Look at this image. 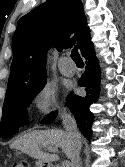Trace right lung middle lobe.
Masks as SVG:
<instances>
[{"label": "right lung middle lobe", "mask_w": 125, "mask_h": 167, "mask_svg": "<svg viewBox=\"0 0 125 167\" xmlns=\"http://www.w3.org/2000/svg\"><path fill=\"white\" fill-rule=\"evenodd\" d=\"M46 83L16 97L6 98L3 105V115L0 124V137L7 138L18 132L27 124V108L34 97L43 89Z\"/></svg>", "instance_id": "right-lung-middle-lobe-1"}]
</instances>
